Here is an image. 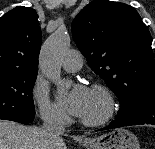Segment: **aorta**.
<instances>
[{
  "label": "aorta",
  "mask_w": 155,
  "mask_h": 149,
  "mask_svg": "<svg viewBox=\"0 0 155 149\" xmlns=\"http://www.w3.org/2000/svg\"><path fill=\"white\" fill-rule=\"evenodd\" d=\"M70 47L67 29L59 27L44 43L40 53V65L44 75L59 87H64L61 78V62Z\"/></svg>",
  "instance_id": "762f6f07"
}]
</instances>
